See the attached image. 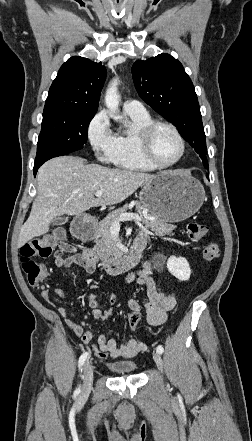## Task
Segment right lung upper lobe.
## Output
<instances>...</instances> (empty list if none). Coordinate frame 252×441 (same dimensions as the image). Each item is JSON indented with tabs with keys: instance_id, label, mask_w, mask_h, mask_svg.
<instances>
[{
	"instance_id": "obj_1",
	"label": "right lung upper lobe",
	"mask_w": 252,
	"mask_h": 441,
	"mask_svg": "<svg viewBox=\"0 0 252 441\" xmlns=\"http://www.w3.org/2000/svg\"><path fill=\"white\" fill-rule=\"evenodd\" d=\"M106 69L101 63L74 56L60 68L53 81L44 110L96 113Z\"/></svg>"
}]
</instances>
